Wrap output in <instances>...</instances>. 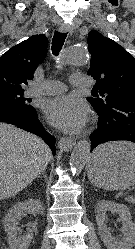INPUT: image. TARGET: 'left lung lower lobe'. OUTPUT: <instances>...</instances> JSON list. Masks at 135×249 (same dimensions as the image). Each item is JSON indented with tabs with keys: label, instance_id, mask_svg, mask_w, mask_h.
<instances>
[{
	"label": "left lung lower lobe",
	"instance_id": "1",
	"mask_svg": "<svg viewBox=\"0 0 135 249\" xmlns=\"http://www.w3.org/2000/svg\"><path fill=\"white\" fill-rule=\"evenodd\" d=\"M99 115L98 129L91 134V152L101 143L127 140L135 143V103H115Z\"/></svg>",
	"mask_w": 135,
	"mask_h": 249
}]
</instances>
